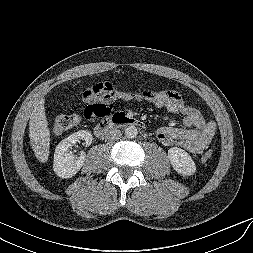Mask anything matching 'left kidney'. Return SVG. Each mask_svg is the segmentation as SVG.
I'll return each mask as SVG.
<instances>
[{
    "mask_svg": "<svg viewBox=\"0 0 253 253\" xmlns=\"http://www.w3.org/2000/svg\"><path fill=\"white\" fill-rule=\"evenodd\" d=\"M168 158L174 170L183 175L190 176L196 172V165L191 156L181 148L172 147L168 150Z\"/></svg>",
    "mask_w": 253,
    "mask_h": 253,
    "instance_id": "left-kidney-1",
    "label": "left kidney"
}]
</instances>
